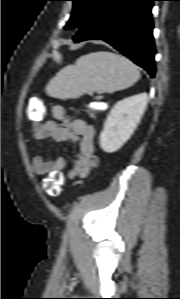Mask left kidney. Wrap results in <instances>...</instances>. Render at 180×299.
<instances>
[{"label": "left kidney", "instance_id": "obj_1", "mask_svg": "<svg viewBox=\"0 0 180 299\" xmlns=\"http://www.w3.org/2000/svg\"><path fill=\"white\" fill-rule=\"evenodd\" d=\"M148 96L141 93L117 102L104 123L100 147L107 153L119 150L131 137L147 106Z\"/></svg>", "mask_w": 180, "mask_h": 299}]
</instances>
